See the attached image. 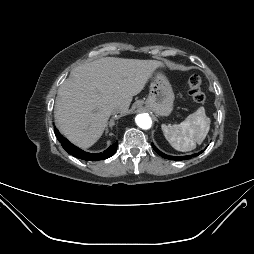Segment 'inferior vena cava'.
<instances>
[{
    "label": "inferior vena cava",
    "mask_w": 254,
    "mask_h": 254,
    "mask_svg": "<svg viewBox=\"0 0 254 254\" xmlns=\"http://www.w3.org/2000/svg\"><path fill=\"white\" fill-rule=\"evenodd\" d=\"M120 111H121V108H120V107H114V108L111 110L112 114H118V113H120Z\"/></svg>",
    "instance_id": "602c4592"
}]
</instances>
